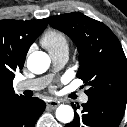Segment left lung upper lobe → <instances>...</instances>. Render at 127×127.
Here are the masks:
<instances>
[{"mask_svg": "<svg viewBox=\"0 0 127 127\" xmlns=\"http://www.w3.org/2000/svg\"><path fill=\"white\" fill-rule=\"evenodd\" d=\"M49 24L75 42L80 64L77 76L89 86L88 98L126 103L127 59L113 32L80 12L53 16Z\"/></svg>", "mask_w": 127, "mask_h": 127, "instance_id": "1", "label": "left lung upper lobe"}]
</instances>
